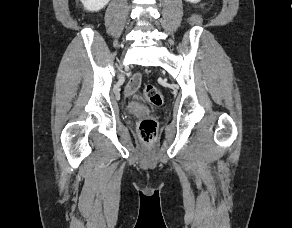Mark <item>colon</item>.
<instances>
[{
    "label": "colon",
    "instance_id": "1",
    "mask_svg": "<svg viewBox=\"0 0 292 228\" xmlns=\"http://www.w3.org/2000/svg\"><path fill=\"white\" fill-rule=\"evenodd\" d=\"M143 97L153 105L159 106L163 103L162 93L152 85H147L143 89ZM158 122L155 117L147 116L139 122V133L143 142L147 145L152 144L157 137Z\"/></svg>",
    "mask_w": 292,
    "mask_h": 228
}]
</instances>
